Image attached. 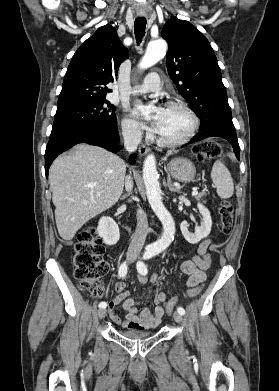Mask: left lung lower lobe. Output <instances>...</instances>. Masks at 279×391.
Instances as JSON below:
<instances>
[{"mask_svg":"<svg viewBox=\"0 0 279 391\" xmlns=\"http://www.w3.org/2000/svg\"><path fill=\"white\" fill-rule=\"evenodd\" d=\"M212 136L222 137V138H225L226 140H228L234 149L236 157L239 159L240 148H239V144L237 141L235 131H229V130H225L222 128H208V129L204 130L203 132L195 135L188 144L194 143V142H197V141H200L202 139L212 137Z\"/></svg>","mask_w":279,"mask_h":391,"instance_id":"obj_1","label":"left lung lower lobe"}]
</instances>
